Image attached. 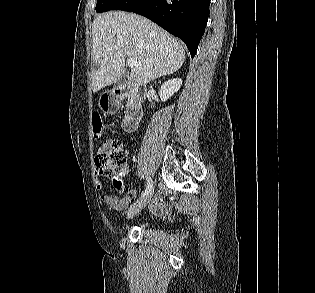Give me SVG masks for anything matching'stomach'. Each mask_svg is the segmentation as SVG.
<instances>
[{
  "label": "stomach",
  "mask_w": 315,
  "mask_h": 293,
  "mask_svg": "<svg viewBox=\"0 0 315 293\" xmlns=\"http://www.w3.org/2000/svg\"><path fill=\"white\" fill-rule=\"evenodd\" d=\"M122 103V96L119 92H102L99 99V106L103 112L109 113L110 110H119Z\"/></svg>",
  "instance_id": "stomach-1"
}]
</instances>
